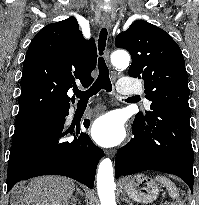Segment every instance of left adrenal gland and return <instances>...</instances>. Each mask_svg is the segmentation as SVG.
Segmentation results:
<instances>
[{
	"label": "left adrenal gland",
	"mask_w": 199,
	"mask_h": 205,
	"mask_svg": "<svg viewBox=\"0 0 199 205\" xmlns=\"http://www.w3.org/2000/svg\"><path fill=\"white\" fill-rule=\"evenodd\" d=\"M123 201L127 202L129 205H132L131 201L124 195Z\"/></svg>",
	"instance_id": "a2214340"
}]
</instances>
